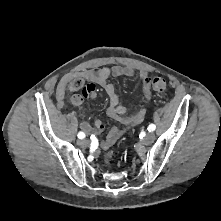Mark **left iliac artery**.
<instances>
[{
  "mask_svg": "<svg viewBox=\"0 0 221 221\" xmlns=\"http://www.w3.org/2000/svg\"><path fill=\"white\" fill-rule=\"evenodd\" d=\"M156 129V126L154 124H150L148 126V131L151 132V131H154Z\"/></svg>",
  "mask_w": 221,
  "mask_h": 221,
  "instance_id": "44dca946",
  "label": "left iliac artery"
}]
</instances>
